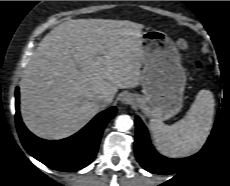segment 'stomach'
I'll return each mask as SVG.
<instances>
[{"label":"stomach","mask_w":230,"mask_h":186,"mask_svg":"<svg viewBox=\"0 0 230 186\" xmlns=\"http://www.w3.org/2000/svg\"><path fill=\"white\" fill-rule=\"evenodd\" d=\"M141 38L143 95H135V105L150 118L167 120L179 113L183 106L185 69L174 42L167 34L147 30Z\"/></svg>","instance_id":"stomach-1"}]
</instances>
